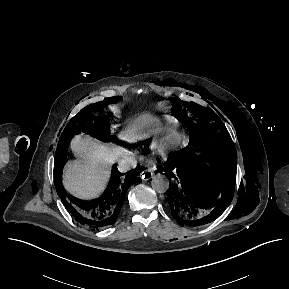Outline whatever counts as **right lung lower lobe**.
I'll return each instance as SVG.
<instances>
[{
    "instance_id": "right-lung-lower-lobe-1",
    "label": "right lung lower lobe",
    "mask_w": 289,
    "mask_h": 289,
    "mask_svg": "<svg viewBox=\"0 0 289 289\" xmlns=\"http://www.w3.org/2000/svg\"><path fill=\"white\" fill-rule=\"evenodd\" d=\"M67 151L58 149L55 154V187L62 203L78 223L91 230H99L113 225L120 217L129 186L140 180L139 175L142 170L137 167L124 175L114 165L107 189L100 197L93 200L73 199L67 194L61 183L62 167L67 161Z\"/></svg>"
}]
</instances>
